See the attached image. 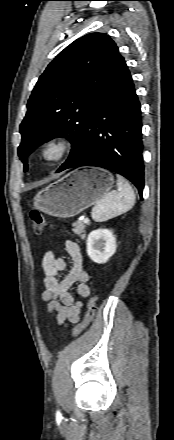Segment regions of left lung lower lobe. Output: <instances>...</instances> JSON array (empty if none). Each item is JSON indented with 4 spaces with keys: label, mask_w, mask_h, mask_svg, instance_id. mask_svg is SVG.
Returning <instances> with one entry per match:
<instances>
[{
    "label": "left lung lower lobe",
    "mask_w": 174,
    "mask_h": 440,
    "mask_svg": "<svg viewBox=\"0 0 174 440\" xmlns=\"http://www.w3.org/2000/svg\"><path fill=\"white\" fill-rule=\"evenodd\" d=\"M141 130L140 103L131 74L121 57L104 91L89 110L81 151L60 171L80 166L105 168L134 183L142 198Z\"/></svg>",
    "instance_id": "obj_1"
}]
</instances>
